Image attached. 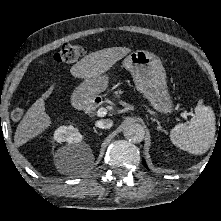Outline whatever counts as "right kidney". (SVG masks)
Listing matches in <instances>:
<instances>
[{
	"label": "right kidney",
	"instance_id": "right-kidney-1",
	"mask_svg": "<svg viewBox=\"0 0 221 221\" xmlns=\"http://www.w3.org/2000/svg\"><path fill=\"white\" fill-rule=\"evenodd\" d=\"M54 140L58 143L76 144L82 141V135L73 126H61L54 132Z\"/></svg>",
	"mask_w": 221,
	"mask_h": 221
}]
</instances>
